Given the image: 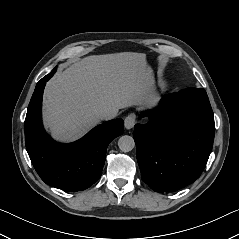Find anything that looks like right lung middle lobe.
Listing matches in <instances>:
<instances>
[{"label": "right lung middle lobe", "mask_w": 239, "mask_h": 239, "mask_svg": "<svg viewBox=\"0 0 239 239\" xmlns=\"http://www.w3.org/2000/svg\"><path fill=\"white\" fill-rule=\"evenodd\" d=\"M56 68L57 67H55L50 73L54 74L56 72Z\"/></svg>", "instance_id": "right-lung-middle-lobe-1"}]
</instances>
